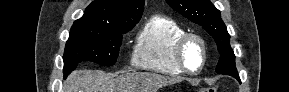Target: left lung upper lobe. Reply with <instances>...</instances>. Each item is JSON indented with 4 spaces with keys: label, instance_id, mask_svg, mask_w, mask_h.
I'll use <instances>...</instances> for the list:
<instances>
[{
    "label": "left lung upper lobe",
    "instance_id": "5c2ea615",
    "mask_svg": "<svg viewBox=\"0 0 289 92\" xmlns=\"http://www.w3.org/2000/svg\"><path fill=\"white\" fill-rule=\"evenodd\" d=\"M166 2L175 11L202 26L214 38L220 53L216 72L239 77L235 67V55L230 46V35L221 19L220 11L209 0H166Z\"/></svg>",
    "mask_w": 289,
    "mask_h": 92
}]
</instances>
